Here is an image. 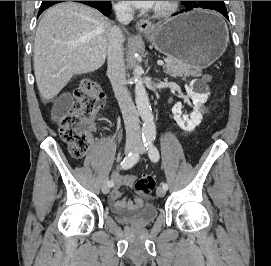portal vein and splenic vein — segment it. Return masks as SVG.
I'll use <instances>...</instances> for the list:
<instances>
[{"label":"portal vein and splenic vein","instance_id":"1","mask_svg":"<svg viewBox=\"0 0 271 266\" xmlns=\"http://www.w3.org/2000/svg\"><path fill=\"white\" fill-rule=\"evenodd\" d=\"M157 64H158L159 66H163V65H164V61L158 60V61H157Z\"/></svg>","mask_w":271,"mask_h":266}]
</instances>
